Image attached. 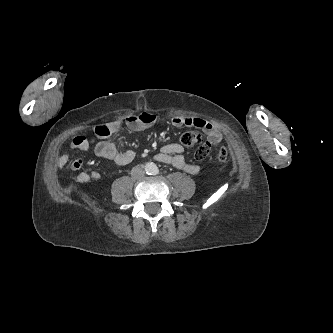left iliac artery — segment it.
<instances>
[{
    "mask_svg": "<svg viewBox=\"0 0 333 333\" xmlns=\"http://www.w3.org/2000/svg\"><path fill=\"white\" fill-rule=\"evenodd\" d=\"M159 172V170H156V174Z\"/></svg>",
    "mask_w": 333,
    "mask_h": 333,
    "instance_id": "1",
    "label": "left iliac artery"
}]
</instances>
